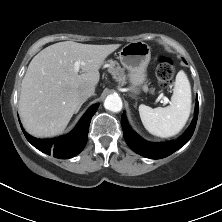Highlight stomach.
Returning <instances> with one entry per match:
<instances>
[{
	"instance_id": "stomach-1",
	"label": "stomach",
	"mask_w": 222,
	"mask_h": 222,
	"mask_svg": "<svg viewBox=\"0 0 222 222\" xmlns=\"http://www.w3.org/2000/svg\"><path fill=\"white\" fill-rule=\"evenodd\" d=\"M122 66L128 71L130 87L133 93L146 82L147 67L151 59V48L143 41H134L125 45L119 52Z\"/></svg>"
}]
</instances>
